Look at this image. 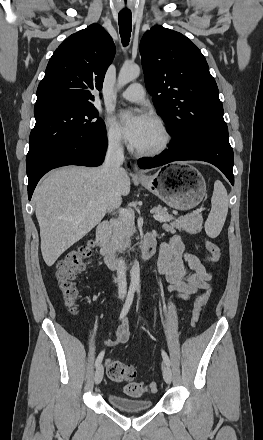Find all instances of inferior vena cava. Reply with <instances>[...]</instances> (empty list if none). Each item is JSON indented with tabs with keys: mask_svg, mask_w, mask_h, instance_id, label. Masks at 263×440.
Listing matches in <instances>:
<instances>
[{
	"mask_svg": "<svg viewBox=\"0 0 263 440\" xmlns=\"http://www.w3.org/2000/svg\"><path fill=\"white\" fill-rule=\"evenodd\" d=\"M124 162L123 147L120 138L115 136L109 139L108 150L103 164V171L109 184V211H113L122 203L121 194L118 189V179L124 169L121 165ZM119 298L123 299L127 292L125 261L118 260L117 278Z\"/></svg>",
	"mask_w": 263,
	"mask_h": 440,
	"instance_id": "obj_1",
	"label": "inferior vena cava"
}]
</instances>
